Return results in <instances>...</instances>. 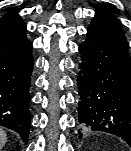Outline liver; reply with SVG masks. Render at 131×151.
<instances>
[{
    "label": "liver",
    "mask_w": 131,
    "mask_h": 151,
    "mask_svg": "<svg viewBox=\"0 0 131 151\" xmlns=\"http://www.w3.org/2000/svg\"><path fill=\"white\" fill-rule=\"evenodd\" d=\"M6 141H7L6 133L2 129H0V150L2 149Z\"/></svg>",
    "instance_id": "6515ba94"
}]
</instances>
